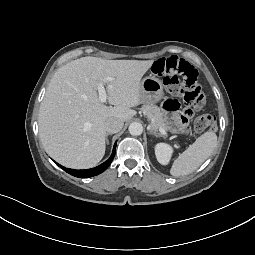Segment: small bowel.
I'll return each instance as SVG.
<instances>
[{"instance_id": "1", "label": "small bowel", "mask_w": 255, "mask_h": 255, "mask_svg": "<svg viewBox=\"0 0 255 255\" xmlns=\"http://www.w3.org/2000/svg\"><path fill=\"white\" fill-rule=\"evenodd\" d=\"M163 108L166 117L171 122L175 131H184L188 125L189 117L179 112V104L177 101L169 99L164 102Z\"/></svg>"}]
</instances>
